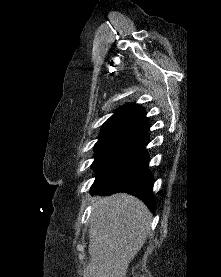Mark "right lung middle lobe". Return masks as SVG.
<instances>
[{
  "mask_svg": "<svg viewBox=\"0 0 221 277\" xmlns=\"http://www.w3.org/2000/svg\"><path fill=\"white\" fill-rule=\"evenodd\" d=\"M147 132L143 125L105 126L95 144L92 168L96 176L104 177L119 168L145 141Z\"/></svg>",
  "mask_w": 221,
  "mask_h": 277,
  "instance_id": "1",
  "label": "right lung middle lobe"
}]
</instances>
